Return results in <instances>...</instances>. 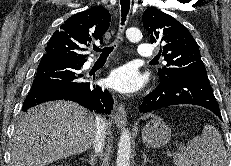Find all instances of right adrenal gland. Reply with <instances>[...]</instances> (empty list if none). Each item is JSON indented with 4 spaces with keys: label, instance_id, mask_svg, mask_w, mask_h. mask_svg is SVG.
Segmentation results:
<instances>
[{
    "label": "right adrenal gland",
    "instance_id": "2a0ac1e0",
    "mask_svg": "<svg viewBox=\"0 0 231 166\" xmlns=\"http://www.w3.org/2000/svg\"><path fill=\"white\" fill-rule=\"evenodd\" d=\"M83 160H86L90 164V166H95L96 161H95V155L93 153H91L89 160L87 159H83Z\"/></svg>",
    "mask_w": 231,
    "mask_h": 166
}]
</instances>
